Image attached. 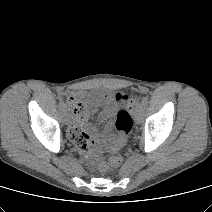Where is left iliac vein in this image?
<instances>
[{
  "mask_svg": "<svg viewBox=\"0 0 212 212\" xmlns=\"http://www.w3.org/2000/svg\"><path fill=\"white\" fill-rule=\"evenodd\" d=\"M144 108L142 103H138L135 109V121L139 124L143 118Z\"/></svg>",
  "mask_w": 212,
  "mask_h": 212,
  "instance_id": "4c4485c4",
  "label": "left iliac vein"
}]
</instances>
